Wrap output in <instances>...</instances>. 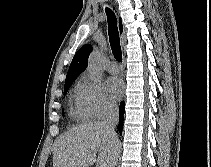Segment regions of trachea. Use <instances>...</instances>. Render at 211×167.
<instances>
[{"label":"trachea","instance_id":"1","mask_svg":"<svg viewBox=\"0 0 211 167\" xmlns=\"http://www.w3.org/2000/svg\"><path fill=\"white\" fill-rule=\"evenodd\" d=\"M108 21V35L112 53L117 61L122 62V51L120 46V39L117 27V19L114 12L106 8Z\"/></svg>","mask_w":211,"mask_h":167}]
</instances>
